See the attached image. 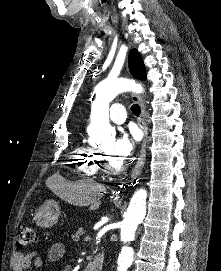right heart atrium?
<instances>
[{"label":"right heart atrium","instance_id":"1","mask_svg":"<svg viewBox=\"0 0 221 271\" xmlns=\"http://www.w3.org/2000/svg\"><path fill=\"white\" fill-rule=\"evenodd\" d=\"M168 81H173V80H168ZM76 155H84L86 158L84 161H100L101 159H104V154H76ZM85 173L87 171H84ZM91 173L93 171H90Z\"/></svg>","mask_w":221,"mask_h":271}]
</instances>
